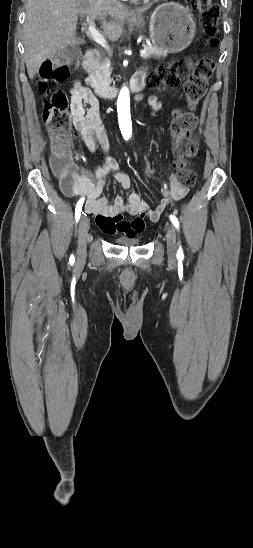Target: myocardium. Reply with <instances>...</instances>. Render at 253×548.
I'll list each match as a JSON object with an SVG mask.
<instances>
[{
	"label": "myocardium",
	"instance_id": "1",
	"mask_svg": "<svg viewBox=\"0 0 253 548\" xmlns=\"http://www.w3.org/2000/svg\"><path fill=\"white\" fill-rule=\"evenodd\" d=\"M148 1V0H147ZM151 1H161V0H151Z\"/></svg>",
	"mask_w": 253,
	"mask_h": 548
}]
</instances>
